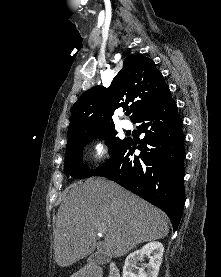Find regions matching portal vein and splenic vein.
Segmentation results:
<instances>
[{
  "label": "portal vein and splenic vein",
  "instance_id": "obj_1",
  "mask_svg": "<svg viewBox=\"0 0 221 277\" xmlns=\"http://www.w3.org/2000/svg\"><path fill=\"white\" fill-rule=\"evenodd\" d=\"M98 232H99L100 234H103V233L105 232V228L100 226V227L98 228Z\"/></svg>",
  "mask_w": 221,
  "mask_h": 277
}]
</instances>
